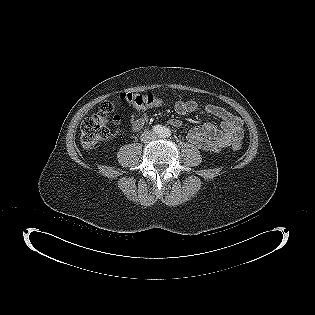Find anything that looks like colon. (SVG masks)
I'll return each mask as SVG.
<instances>
[{
  "label": "colon",
  "instance_id": "5ec220e1",
  "mask_svg": "<svg viewBox=\"0 0 315 315\" xmlns=\"http://www.w3.org/2000/svg\"><path fill=\"white\" fill-rule=\"evenodd\" d=\"M121 98L140 108L163 104V100L153 94L124 93ZM114 107V102H104L97 113L84 120L80 130V143L84 149H90L109 138L110 125L119 120V116L114 114ZM233 149L239 150L240 144L233 145Z\"/></svg>",
  "mask_w": 315,
  "mask_h": 315
}]
</instances>
